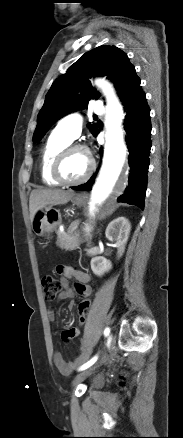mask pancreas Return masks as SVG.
Masks as SVG:
<instances>
[{"label": "pancreas", "mask_w": 183, "mask_h": 438, "mask_svg": "<svg viewBox=\"0 0 183 438\" xmlns=\"http://www.w3.org/2000/svg\"><path fill=\"white\" fill-rule=\"evenodd\" d=\"M56 244L61 249H65L66 251L75 250L80 244V233H76L74 236H72L71 231L62 232L58 230Z\"/></svg>", "instance_id": "1"}]
</instances>
